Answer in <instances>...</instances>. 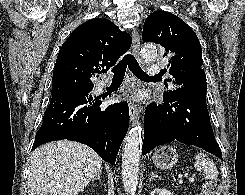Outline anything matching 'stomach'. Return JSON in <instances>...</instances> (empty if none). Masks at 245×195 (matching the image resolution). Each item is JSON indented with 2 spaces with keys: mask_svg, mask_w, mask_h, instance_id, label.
I'll use <instances>...</instances> for the list:
<instances>
[{
  "mask_svg": "<svg viewBox=\"0 0 245 195\" xmlns=\"http://www.w3.org/2000/svg\"><path fill=\"white\" fill-rule=\"evenodd\" d=\"M152 160L157 168L170 169L177 163L178 154L173 147L165 145L156 150Z\"/></svg>",
  "mask_w": 245,
  "mask_h": 195,
  "instance_id": "1",
  "label": "stomach"
}]
</instances>
